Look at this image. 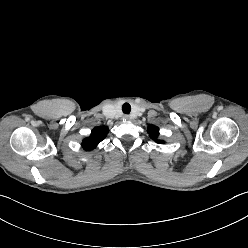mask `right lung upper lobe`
<instances>
[{
    "instance_id": "obj_1",
    "label": "right lung upper lobe",
    "mask_w": 248,
    "mask_h": 248,
    "mask_svg": "<svg viewBox=\"0 0 248 248\" xmlns=\"http://www.w3.org/2000/svg\"><path fill=\"white\" fill-rule=\"evenodd\" d=\"M107 127H96L92 130L91 135L82 141V146L86 151L94 149L107 135Z\"/></svg>"
}]
</instances>
